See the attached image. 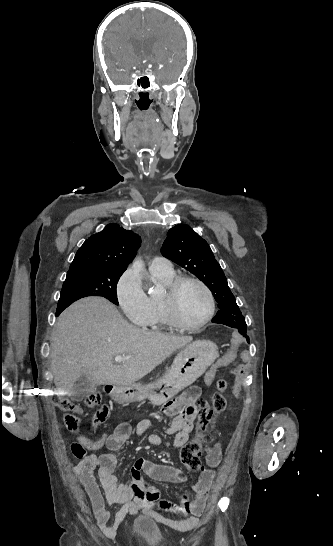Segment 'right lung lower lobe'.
Instances as JSON below:
<instances>
[{"mask_svg": "<svg viewBox=\"0 0 333 546\" xmlns=\"http://www.w3.org/2000/svg\"><path fill=\"white\" fill-rule=\"evenodd\" d=\"M63 310H57L56 316H58Z\"/></svg>", "mask_w": 333, "mask_h": 546, "instance_id": "98d812e1", "label": "right lung lower lobe"}]
</instances>
